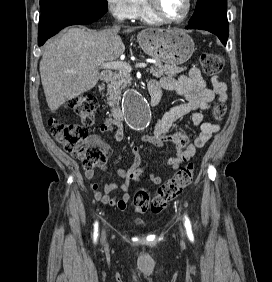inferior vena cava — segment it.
Here are the masks:
<instances>
[{
    "mask_svg": "<svg viewBox=\"0 0 272 282\" xmlns=\"http://www.w3.org/2000/svg\"><path fill=\"white\" fill-rule=\"evenodd\" d=\"M113 29H114V30H119V29H120V27H119V26H117V25H115V26L113 27Z\"/></svg>",
    "mask_w": 272,
    "mask_h": 282,
    "instance_id": "inferior-vena-cava-1",
    "label": "inferior vena cava"
}]
</instances>
